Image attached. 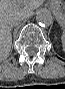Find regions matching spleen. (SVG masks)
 <instances>
[{
  "instance_id": "1",
  "label": "spleen",
  "mask_w": 65,
  "mask_h": 89,
  "mask_svg": "<svg viewBox=\"0 0 65 89\" xmlns=\"http://www.w3.org/2000/svg\"><path fill=\"white\" fill-rule=\"evenodd\" d=\"M61 42H62V45L64 46V43H65V35L64 34L61 36Z\"/></svg>"
}]
</instances>
